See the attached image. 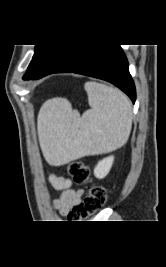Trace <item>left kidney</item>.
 Returning a JSON list of instances; mask_svg holds the SVG:
<instances>
[{"label":"left kidney","mask_w":166,"mask_h":267,"mask_svg":"<svg viewBox=\"0 0 166 267\" xmlns=\"http://www.w3.org/2000/svg\"><path fill=\"white\" fill-rule=\"evenodd\" d=\"M114 161V156H109L98 162L94 169V175L98 179H102L109 173Z\"/></svg>","instance_id":"obj_1"}]
</instances>
